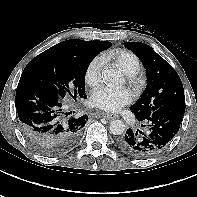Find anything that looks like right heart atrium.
<instances>
[{"instance_id":"d8ad5b80","label":"right heart atrium","mask_w":197,"mask_h":197,"mask_svg":"<svg viewBox=\"0 0 197 197\" xmlns=\"http://www.w3.org/2000/svg\"><path fill=\"white\" fill-rule=\"evenodd\" d=\"M103 59L101 57L93 58L85 70V82L91 87H96L101 80Z\"/></svg>"}]
</instances>
